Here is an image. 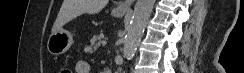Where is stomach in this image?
Masks as SVG:
<instances>
[{"instance_id": "stomach-1", "label": "stomach", "mask_w": 244, "mask_h": 73, "mask_svg": "<svg viewBox=\"0 0 244 73\" xmlns=\"http://www.w3.org/2000/svg\"><path fill=\"white\" fill-rule=\"evenodd\" d=\"M125 11L113 10L112 15L120 17L124 15ZM73 44L72 34L61 28L59 31L51 33L47 42V49L52 55H61L66 53Z\"/></svg>"}]
</instances>
